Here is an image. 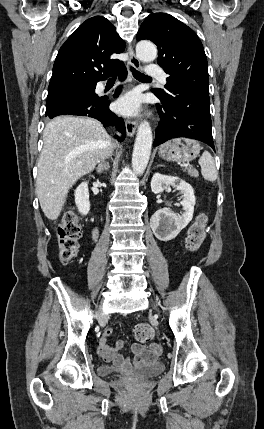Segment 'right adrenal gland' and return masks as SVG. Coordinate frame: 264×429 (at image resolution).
I'll list each match as a JSON object with an SVG mask.
<instances>
[{
  "instance_id": "obj_1",
  "label": "right adrenal gland",
  "mask_w": 264,
  "mask_h": 429,
  "mask_svg": "<svg viewBox=\"0 0 264 429\" xmlns=\"http://www.w3.org/2000/svg\"><path fill=\"white\" fill-rule=\"evenodd\" d=\"M97 172L100 174V173H103V172H106V171H108L109 170V163L108 162H101L99 165H98V167H97Z\"/></svg>"
}]
</instances>
